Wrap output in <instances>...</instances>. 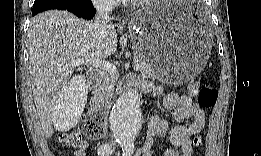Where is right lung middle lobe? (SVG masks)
I'll return each mask as SVG.
<instances>
[{
    "mask_svg": "<svg viewBox=\"0 0 261 156\" xmlns=\"http://www.w3.org/2000/svg\"><path fill=\"white\" fill-rule=\"evenodd\" d=\"M70 0H35L33 9H39L54 5H59L65 2H69Z\"/></svg>",
    "mask_w": 261,
    "mask_h": 156,
    "instance_id": "dd1d6c3e",
    "label": "right lung middle lobe"
}]
</instances>
